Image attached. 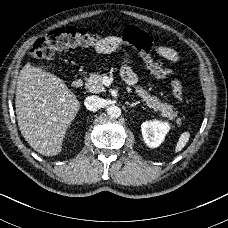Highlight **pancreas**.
I'll list each match as a JSON object with an SVG mask.
<instances>
[{
	"label": "pancreas",
	"instance_id": "1",
	"mask_svg": "<svg viewBox=\"0 0 228 228\" xmlns=\"http://www.w3.org/2000/svg\"><path fill=\"white\" fill-rule=\"evenodd\" d=\"M103 75L99 73H90L89 77L86 78L85 88L91 93H100L105 91L102 84ZM135 92L145 101L147 106L153 108L155 111H160L163 117H167L169 120H173L177 117L178 112L174 111L172 105L162 103L156 96H151L141 86L135 87ZM178 126L181 125V120L177 119Z\"/></svg>",
	"mask_w": 228,
	"mask_h": 228
}]
</instances>
